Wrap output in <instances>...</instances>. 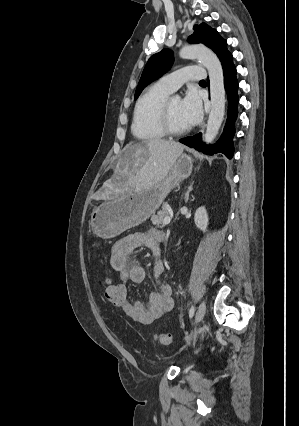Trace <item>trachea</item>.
<instances>
[{
  "instance_id": "1",
  "label": "trachea",
  "mask_w": 299,
  "mask_h": 426,
  "mask_svg": "<svg viewBox=\"0 0 299 426\" xmlns=\"http://www.w3.org/2000/svg\"><path fill=\"white\" fill-rule=\"evenodd\" d=\"M200 83H206L205 80H201Z\"/></svg>"
}]
</instances>
